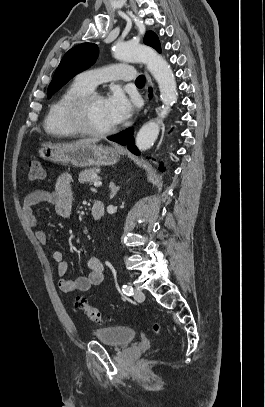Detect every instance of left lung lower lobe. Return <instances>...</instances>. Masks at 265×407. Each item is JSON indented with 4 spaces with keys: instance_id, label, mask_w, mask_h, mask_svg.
<instances>
[{
    "instance_id": "left-lung-lower-lobe-1",
    "label": "left lung lower lobe",
    "mask_w": 265,
    "mask_h": 407,
    "mask_svg": "<svg viewBox=\"0 0 265 407\" xmlns=\"http://www.w3.org/2000/svg\"><path fill=\"white\" fill-rule=\"evenodd\" d=\"M149 92H150L149 96L152 97V88H149ZM132 130H133L132 128H129V129L123 131L122 133L109 137L108 139L111 141L117 142L121 145H127L128 149L132 153L139 155L140 152L136 148V146L134 144V139L132 137ZM159 168L162 171L164 170L162 164H160Z\"/></svg>"
}]
</instances>
